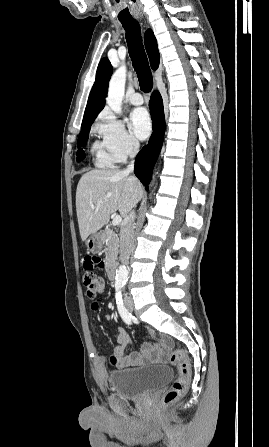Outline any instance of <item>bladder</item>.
<instances>
[{"label":"bladder","instance_id":"31cf9c89","mask_svg":"<svg viewBox=\"0 0 269 447\" xmlns=\"http://www.w3.org/2000/svg\"><path fill=\"white\" fill-rule=\"evenodd\" d=\"M172 377L170 366H143L111 373L109 385L113 393L123 398H140L171 381Z\"/></svg>","mask_w":269,"mask_h":447}]
</instances>
